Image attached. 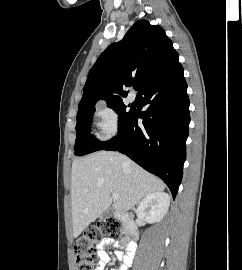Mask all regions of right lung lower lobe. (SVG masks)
I'll return each instance as SVG.
<instances>
[{"label": "right lung lower lobe", "instance_id": "98d812e1", "mask_svg": "<svg viewBox=\"0 0 242 270\" xmlns=\"http://www.w3.org/2000/svg\"><path fill=\"white\" fill-rule=\"evenodd\" d=\"M177 60L141 90L145 112L133 111L119 133L101 150L119 151L160 177L175 198L183 175L188 137L189 98ZM138 118L143 124H138Z\"/></svg>", "mask_w": 242, "mask_h": 270}]
</instances>
